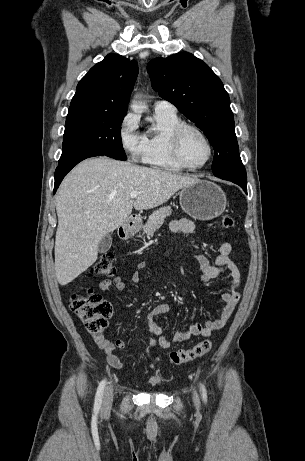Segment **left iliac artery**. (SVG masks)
<instances>
[{"label": "left iliac artery", "mask_w": 305, "mask_h": 461, "mask_svg": "<svg viewBox=\"0 0 305 461\" xmlns=\"http://www.w3.org/2000/svg\"><path fill=\"white\" fill-rule=\"evenodd\" d=\"M200 388H201V392H202V396H203V400L205 402H207V391H206V388L203 384H200Z\"/></svg>", "instance_id": "1"}]
</instances>
